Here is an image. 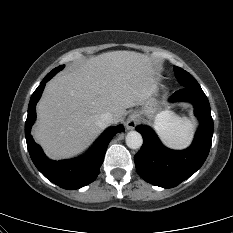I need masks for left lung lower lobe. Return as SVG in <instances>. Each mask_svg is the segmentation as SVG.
I'll list each match as a JSON object with an SVG mask.
<instances>
[{
	"mask_svg": "<svg viewBox=\"0 0 233 233\" xmlns=\"http://www.w3.org/2000/svg\"><path fill=\"white\" fill-rule=\"evenodd\" d=\"M169 100L191 102L200 126L192 145L182 151L170 150L163 146L150 127H136L144 140L134 157L137 173L146 182L163 188L179 185L202 166L208 156L213 136L210 105L201 88L183 87Z\"/></svg>",
	"mask_w": 233,
	"mask_h": 233,
	"instance_id": "obj_1",
	"label": "left lung lower lobe"
}]
</instances>
